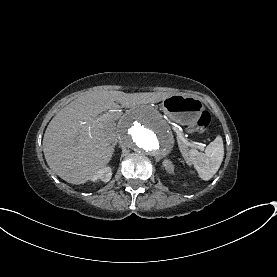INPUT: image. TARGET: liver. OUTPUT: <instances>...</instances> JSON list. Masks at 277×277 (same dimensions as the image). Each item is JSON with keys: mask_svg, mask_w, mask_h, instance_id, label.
Segmentation results:
<instances>
[{"mask_svg": "<svg viewBox=\"0 0 277 277\" xmlns=\"http://www.w3.org/2000/svg\"><path fill=\"white\" fill-rule=\"evenodd\" d=\"M164 92L125 93L122 91L85 92L50 121L43 137V152L49 168L67 183L82 185L109 165L121 139L111 113L118 108L158 103L170 97Z\"/></svg>", "mask_w": 277, "mask_h": 277, "instance_id": "liver-1", "label": "liver"}]
</instances>
